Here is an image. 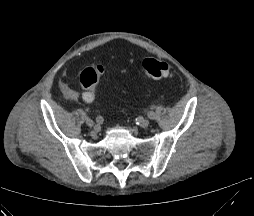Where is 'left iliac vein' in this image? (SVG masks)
<instances>
[{
	"label": "left iliac vein",
	"mask_w": 254,
	"mask_h": 216,
	"mask_svg": "<svg viewBox=\"0 0 254 216\" xmlns=\"http://www.w3.org/2000/svg\"><path fill=\"white\" fill-rule=\"evenodd\" d=\"M150 122L148 119H142L139 123V126L141 128H147L149 126Z\"/></svg>",
	"instance_id": "left-iliac-vein-1"
}]
</instances>
